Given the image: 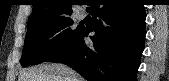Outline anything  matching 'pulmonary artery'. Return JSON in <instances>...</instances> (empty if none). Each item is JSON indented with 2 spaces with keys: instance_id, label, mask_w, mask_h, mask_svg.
<instances>
[{
  "instance_id": "1",
  "label": "pulmonary artery",
  "mask_w": 169,
  "mask_h": 81,
  "mask_svg": "<svg viewBox=\"0 0 169 81\" xmlns=\"http://www.w3.org/2000/svg\"><path fill=\"white\" fill-rule=\"evenodd\" d=\"M85 17H86V13L83 12V11H81V12L79 13V18H80V19H84Z\"/></svg>"
}]
</instances>
